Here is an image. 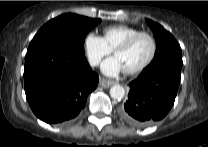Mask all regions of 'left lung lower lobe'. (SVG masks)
Returning <instances> with one entry per match:
<instances>
[{
  "label": "left lung lower lobe",
  "instance_id": "1",
  "mask_svg": "<svg viewBox=\"0 0 208 147\" xmlns=\"http://www.w3.org/2000/svg\"><path fill=\"white\" fill-rule=\"evenodd\" d=\"M181 68L182 65L170 60L146 67L129 84L128 99L119 109L120 117L136 127L163 119L174 104Z\"/></svg>",
  "mask_w": 208,
  "mask_h": 147
}]
</instances>
